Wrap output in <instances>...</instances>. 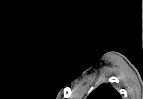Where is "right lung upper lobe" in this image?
Returning a JSON list of instances; mask_svg holds the SVG:
<instances>
[{"mask_svg": "<svg viewBox=\"0 0 143 99\" xmlns=\"http://www.w3.org/2000/svg\"><path fill=\"white\" fill-rule=\"evenodd\" d=\"M87 99H121V96L111 84L103 83Z\"/></svg>", "mask_w": 143, "mask_h": 99, "instance_id": "obj_1", "label": "right lung upper lobe"}]
</instances>
